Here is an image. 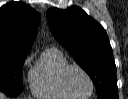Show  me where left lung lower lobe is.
Wrapping results in <instances>:
<instances>
[{
	"instance_id": "1",
	"label": "left lung lower lobe",
	"mask_w": 128,
	"mask_h": 99,
	"mask_svg": "<svg viewBox=\"0 0 128 99\" xmlns=\"http://www.w3.org/2000/svg\"><path fill=\"white\" fill-rule=\"evenodd\" d=\"M105 99H118V93L115 95H109Z\"/></svg>"
}]
</instances>
